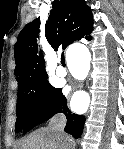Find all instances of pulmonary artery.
I'll return each mask as SVG.
<instances>
[{"instance_id": "1", "label": "pulmonary artery", "mask_w": 124, "mask_h": 149, "mask_svg": "<svg viewBox=\"0 0 124 149\" xmlns=\"http://www.w3.org/2000/svg\"><path fill=\"white\" fill-rule=\"evenodd\" d=\"M57 74L59 76H65L66 75V70H64V69H58Z\"/></svg>"}]
</instances>
